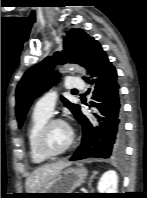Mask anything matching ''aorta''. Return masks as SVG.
<instances>
[{
  "instance_id": "762f6f07",
  "label": "aorta",
  "mask_w": 147,
  "mask_h": 198,
  "mask_svg": "<svg viewBox=\"0 0 147 198\" xmlns=\"http://www.w3.org/2000/svg\"><path fill=\"white\" fill-rule=\"evenodd\" d=\"M76 69H78L79 71H83V69L80 68L79 66H76Z\"/></svg>"
}]
</instances>
